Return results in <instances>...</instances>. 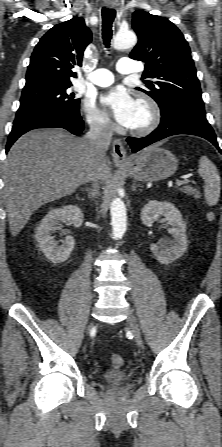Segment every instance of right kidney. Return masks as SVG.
I'll return each instance as SVG.
<instances>
[{"label": "right kidney", "mask_w": 222, "mask_h": 447, "mask_svg": "<svg viewBox=\"0 0 222 447\" xmlns=\"http://www.w3.org/2000/svg\"><path fill=\"white\" fill-rule=\"evenodd\" d=\"M71 221L74 227H80L83 222V213L76 205H66L62 208L50 210L41 220L36 229L35 239L39 244L41 251L46 258L53 263H62L66 261L75 245V240L67 236L62 240V245L54 240L51 235L53 231L59 229L61 223Z\"/></svg>", "instance_id": "1"}]
</instances>
